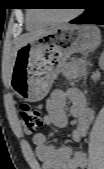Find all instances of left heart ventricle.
<instances>
[{"label":"left heart ventricle","instance_id":"obj_1","mask_svg":"<svg viewBox=\"0 0 104 169\" xmlns=\"http://www.w3.org/2000/svg\"><path fill=\"white\" fill-rule=\"evenodd\" d=\"M68 12L70 11L54 10V11H49V13H47V16L52 19H57L65 16Z\"/></svg>","mask_w":104,"mask_h":169}]
</instances>
